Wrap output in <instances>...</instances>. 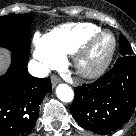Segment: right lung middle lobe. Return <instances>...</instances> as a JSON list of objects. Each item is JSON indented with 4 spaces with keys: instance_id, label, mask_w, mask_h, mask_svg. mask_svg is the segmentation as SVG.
I'll list each match as a JSON object with an SVG mask.
<instances>
[{
    "instance_id": "1",
    "label": "right lung middle lobe",
    "mask_w": 136,
    "mask_h": 136,
    "mask_svg": "<svg viewBox=\"0 0 136 136\" xmlns=\"http://www.w3.org/2000/svg\"><path fill=\"white\" fill-rule=\"evenodd\" d=\"M32 18L33 14H10L0 17V47L28 52Z\"/></svg>"
}]
</instances>
